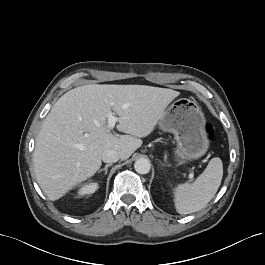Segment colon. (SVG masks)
<instances>
[{"mask_svg":"<svg viewBox=\"0 0 265 265\" xmlns=\"http://www.w3.org/2000/svg\"><path fill=\"white\" fill-rule=\"evenodd\" d=\"M205 132H206L208 138H210V139L213 138V136H214V129H213V127L211 125H209V124L206 125Z\"/></svg>","mask_w":265,"mask_h":265,"instance_id":"5ec220e1","label":"colon"}]
</instances>
